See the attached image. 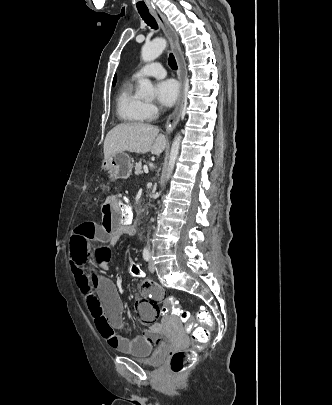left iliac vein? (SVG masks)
<instances>
[{
  "label": "left iliac vein",
  "instance_id": "4c4485c4",
  "mask_svg": "<svg viewBox=\"0 0 332 405\" xmlns=\"http://www.w3.org/2000/svg\"><path fill=\"white\" fill-rule=\"evenodd\" d=\"M148 268H149V271H150V272H154V271H155V265H154V263H153V259H152V258H150Z\"/></svg>",
  "mask_w": 332,
  "mask_h": 405
}]
</instances>
